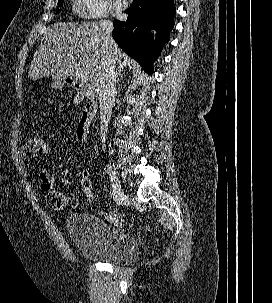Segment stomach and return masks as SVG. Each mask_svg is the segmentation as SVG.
<instances>
[{"label":"stomach","instance_id":"0dacf381","mask_svg":"<svg viewBox=\"0 0 272 303\" xmlns=\"http://www.w3.org/2000/svg\"><path fill=\"white\" fill-rule=\"evenodd\" d=\"M51 86H52V88H54V89H60V88H62L63 83L60 82V81H55L54 83H52Z\"/></svg>","mask_w":272,"mask_h":303}]
</instances>
